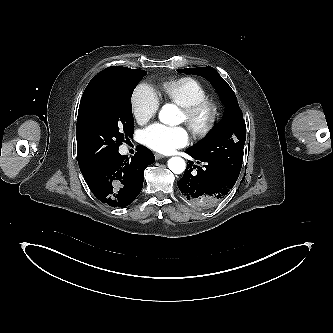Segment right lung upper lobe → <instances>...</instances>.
Wrapping results in <instances>:
<instances>
[{
    "instance_id": "1",
    "label": "right lung upper lobe",
    "mask_w": 333,
    "mask_h": 333,
    "mask_svg": "<svg viewBox=\"0 0 333 333\" xmlns=\"http://www.w3.org/2000/svg\"><path fill=\"white\" fill-rule=\"evenodd\" d=\"M120 68H124V67H119V66L108 67V68L104 69L103 71H101L100 73H98L96 76L93 77V79L89 82V84L87 85V87H86V89H85V91L82 95L79 110H78V115L82 112V110L84 108L86 96H87V93H88V90H89L90 86L102 75H104L108 72H111L113 70L120 69ZM92 169L93 168H90V167H80V170H81L83 175H85L86 173H88Z\"/></svg>"
}]
</instances>
